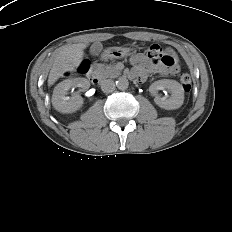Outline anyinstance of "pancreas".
<instances>
[{
  "mask_svg": "<svg viewBox=\"0 0 232 232\" xmlns=\"http://www.w3.org/2000/svg\"><path fill=\"white\" fill-rule=\"evenodd\" d=\"M96 68L101 78H115L121 74L114 64H97Z\"/></svg>",
  "mask_w": 232,
  "mask_h": 232,
  "instance_id": "cf45deb5",
  "label": "pancreas"
}]
</instances>
